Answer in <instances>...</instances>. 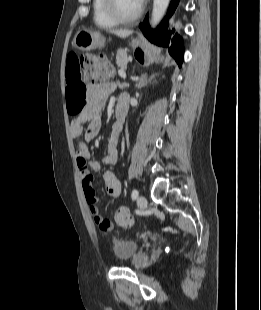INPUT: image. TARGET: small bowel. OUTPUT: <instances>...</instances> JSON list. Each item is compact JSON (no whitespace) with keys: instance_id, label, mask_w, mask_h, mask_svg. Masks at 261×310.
I'll list each match as a JSON object with an SVG mask.
<instances>
[{"instance_id":"1","label":"small bowel","mask_w":261,"mask_h":310,"mask_svg":"<svg viewBox=\"0 0 261 310\" xmlns=\"http://www.w3.org/2000/svg\"><path fill=\"white\" fill-rule=\"evenodd\" d=\"M66 102L68 112L72 115L70 126L71 135L74 138L80 137L84 133V142H79L76 148L77 167L81 178V184L85 198L90 206V212L95 222L100 226L103 222H108L112 230L111 221L104 219L100 208L96 205V196L93 188V176L91 171H100L105 166L113 165L118 158L119 135L122 124L115 122L107 143L106 155L100 160H92L91 153L87 146L99 133L101 127L100 111L114 89V84L102 82L98 84L86 85L80 72V64L75 54H70L66 65ZM91 98L89 106L84 107L85 98ZM102 177L107 193L113 197H118L122 192V184L113 170L104 169Z\"/></svg>"}]
</instances>
